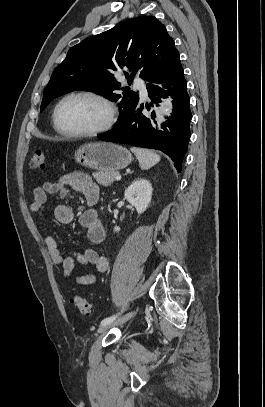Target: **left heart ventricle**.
Here are the masks:
<instances>
[{"mask_svg":"<svg viewBox=\"0 0 265 407\" xmlns=\"http://www.w3.org/2000/svg\"><path fill=\"white\" fill-rule=\"evenodd\" d=\"M107 118L106 108L98 101L87 97H73L60 107V126L68 131H86L102 125Z\"/></svg>","mask_w":265,"mask_h":407,"instance_id":"obj_1","label":"left heart ventricle"}]
</instances>
